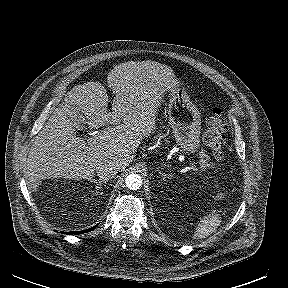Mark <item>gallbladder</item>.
<instances>
[{
	"mask_svg": "<svg viewBox=\"0 0 288 288\" xmlns=\"http://www.w3.org/2000/svg\"><path fill=\"white\" fill-rule=\"evenodd\" d=\"M65 106V105H64ZM69 118L71 119V121L73 122V125L76 128H83L86 120L85 117L81 114V112H79L78 110H69L68 112Z\"/></svg>",
	"mask_w": 288,
	"mask_h": 288,
	"instance_id": "gallbladder-1",
	"label": "gallbladder"
}]
</instances>
